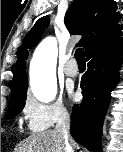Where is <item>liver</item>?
<instances>
[{
  "label": "liver",
  "mask_w": 123,
  "mask_h": 152,
  "mask_svg": "<svg viewBox=\"0 0 123 152\" xmlns=\"http://www.w3.org/2000/svg\"><path fill=\"white\" fill-rule=\"evenodd\" d=\"M71 145L75 143L71 140ZM62 136L56 130L35 133L23 140L14 152H66Z\"/></svg>",
  "instance_id": "6515ba94"
}]
</instances>
